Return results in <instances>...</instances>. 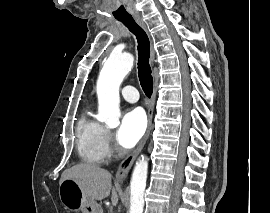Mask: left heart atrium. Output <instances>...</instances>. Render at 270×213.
I'll list each match as a JSON object with an SVG mask.
<instances>
[{"instance_id": "obj_1", "label": "left heart atrium", "mask_w": 270, "mask_h": 213, "mask_svg": "<svg viewBox=\"0 0 270 213\" xmlns=\"http://www.w3.org/2000/svg\"><path fill=\"white\" fill-rule=\"evenodd\" d=\"M147 127L145 114L140 109H133L124 114L116 133L120 146L129 149L142 138Z\"/></svg>"}]
</instances>
